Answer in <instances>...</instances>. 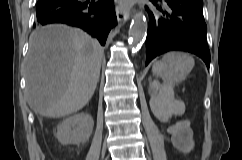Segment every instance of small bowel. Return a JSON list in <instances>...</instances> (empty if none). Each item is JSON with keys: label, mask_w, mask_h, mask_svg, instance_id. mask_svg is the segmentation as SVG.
<instances>
[{"label": "small bowel", "mask_w": 242, "mask_h": 160, "mask_svg": "<svg viewBox=\"0 0 242 160\" xmlns=\"http://www.w3.org/2000/svg\"><path fill=\"white\" fill-rule=\"evenodd\" d=\"M173 136L176 146L182 151L189 152L194 147L192 130L187 120H182L173 127Z\"/></svg>", "instance_id": "small-bowel-1"}]
</instances>
